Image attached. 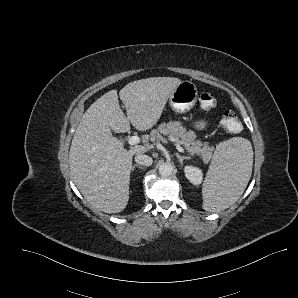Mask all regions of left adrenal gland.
Instances as JSON below:
<instances>
[{"label": "left adrenal gland", "instance_id": "1", "mask_svg": "<svg viewBox=\"0 0 298 298\" xmlns=\"http://www.w3.org/2000/svg\"><path fill=\"white\" fill-rule=\"evenodd\" d=\"M176 157L179 161V163L183 166V161L184 160H190L191 157L190 156H181L179 153H176Z\"/></svg>", "mask_w": 298, "mask_h": 298}]
</instances>
